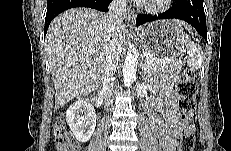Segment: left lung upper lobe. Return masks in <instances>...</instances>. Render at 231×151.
<instances>
[{
	"label": "left lung upper lobe",
	"instance_id": "5c2ea615",
	"mask_svg": "<svg viewBox=\"0 0 231 151\" xmlns=\"http://www.w3.org/2000/svg\"><path fill=\"white\" fill-rule=\"evenodd\" d=\"M180 0H173L172 7L179 5Z\"/></svg>",
	"mask_w": 231,
	"mask_h": 151
}]
</instances>
